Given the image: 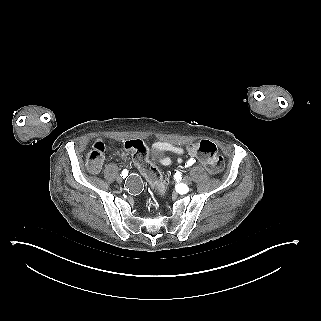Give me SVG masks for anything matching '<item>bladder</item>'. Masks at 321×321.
Returning <instances> with one entry per match:
<instances>
[{"label": "bladder", "mask_w": 321, "mask_h": 321, "mask_svg": "<svg viewBox=\"0 0 321 321\" xmlns=\"http://www.w3.org/2000/svg\"><path fill=\"white\" fill-rule=\"evenodd\" d=\"M147 160L149 161V163L151 164H156L158 162H160V160L162 158H164V153L162 151H159V150H150L148 153H147Z\"/></svg>", "instance_id": "bladder-1"}]
</instances>
